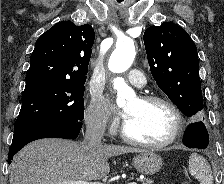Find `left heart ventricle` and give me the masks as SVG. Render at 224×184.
<instances>
[{
  "label": "left heart ventricle",
  "mask_w": 224,
  "mask_h": 184,
  "mask_svg": "<svg viewBox=\"0 0 224 184\" xmlns=\"http://www.w3.org/2000/svg\"><path fill=\"white\" fill-rule=\"evenodd\" d=\"M129 134L139 140L159 143L166 140L174 127L170 109L160 103H144L135 98L125 105Z\"/></svg>",
  "instance_id": "left-heart-ventricle-1"
}]
</instances>
